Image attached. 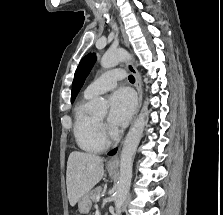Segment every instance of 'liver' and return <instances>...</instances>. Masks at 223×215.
Returning <instances> with one entry per match:
<instances>
[{
  "instance_id": "6515ba94",
  "label": "liver",
  "mask_w": 223,
  "mask_h": 215,
  "mask_svg": "<svg viewBox=\"0 0 223 215\" xmlns=\"http://www.w3.org/2000/svg\"><path fill=\"white\" fill-rule=\"evenodd\" d=\"M104 175L103 157L72 151L67 161L66 183L70 205H75Z\"/></svg>"
}]
</instances>
